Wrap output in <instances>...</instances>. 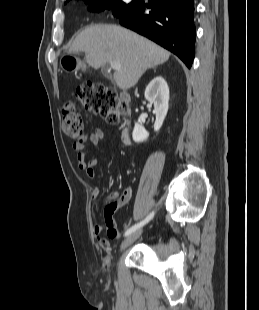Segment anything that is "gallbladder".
Returning <instances> with one entry per match:
<instances>
[{
	"mask_svg": "<svg viewBox=\"0 0 259 310\" xmlns=\"http://www.w3.org/2000/svg\"><path fill=\"white\" fill-rule=\"evenodd\" d=\"M105 77L108 78L109 80H112V77L106 73H105Z\"/></svg>",
	"mask_w": 259,
	"mask_h": 310,
	"instance_id": "obj_1",
	"label": "gallbladder"
}]
</instances>
